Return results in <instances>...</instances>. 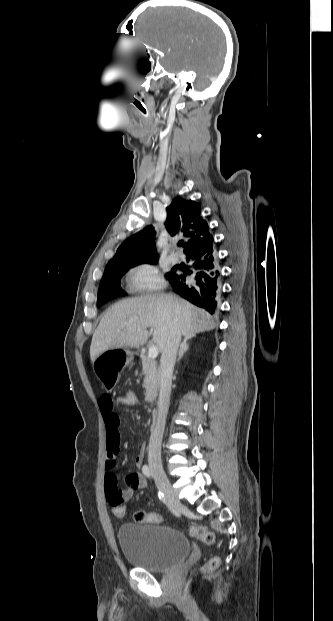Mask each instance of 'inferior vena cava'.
Returning a JSON list of instances; mask_svg holds the SVG:
<instances>
[{
  "instance_id": "1",
  "label": "inferior vena cava",
  "mask_w": 333,
  "mask_h": 621,
  "mask_svg": "<svg viewBox=\"0 0 333 621\" xmlns=\"http://www.w3.org/2000/svg\"><path fill=\"white\" fill-rule=\"evenodd\" d=\"M181 335L182 333L179 327L177 324H174L167 335L160 360L158 416L155 428L149 440L148 461L150 463L161 464V443L170 402L172 374L176 361V354L181 342Z\"/></svg>"
}]
</instances>
